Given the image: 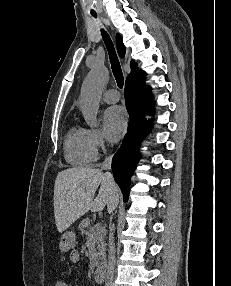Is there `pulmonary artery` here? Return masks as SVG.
<instances>
[{
    "mask_svg": "<svg viewBox=\"0 0 231 286\" xmlns=\"http://www.w3.org/2000/svg\"><path fill=\"white\" fill-rule=\"evenodd\" d=\"M119 99H120V94H119L118 90H116L114 88L106 90L103 94V100L106 103H110V104L116 103L119 101Z\"/></svg>",
    "mask_w": 231,
    "mask_h": 286,
    "instance_id": "e3ab8cb5",
    "label": "pulmonary artery"
}]
</instances>
